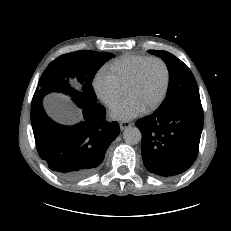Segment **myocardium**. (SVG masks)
Segmentation results:
<instances>
[{
  "label": "myocardium",
  "instance_id": "f54148a6",
  "mask_svg": "<svg viewBox=\"0 0 231 231\" xmlns=\"http://www.w3.org/2000/svg\"><path fill=\"white\" fill-rule=\"evenodd\" d=\"M154 61L159 62L163 66L164 71H165V82H164L162 92H161L160 96L158 97V99L152 105H150L149 107H147L145 109L147 112H151V111L156 110L163 103V101L167 95L169 85H170V70H169L167 63L159 57L148 58L142 64L139 65V67L136 69L134 75L132 76V78L130 79V81L126 87V91H127L130 88H132L133 86H135L138 83V81L140 80L145 67L149 63L154 62Z\"/></svg>",
  "mask_w": 231,
  "mask_h": 231
}]
</instances>
